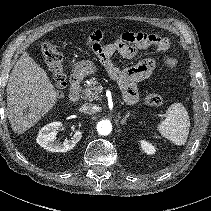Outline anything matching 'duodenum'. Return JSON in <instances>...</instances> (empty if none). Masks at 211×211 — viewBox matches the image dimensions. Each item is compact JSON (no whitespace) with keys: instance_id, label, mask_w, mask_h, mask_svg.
<instances>
[{"instance_id":"duodenum-1","label":"duodenum","mask_w":211,"mask_h":211,"mask_svg":"<svg viewBox=\"0 0 211 211\" xmlns=\"http://www.w3.org/2000/svg\"><path fill=\"white\" fill-rule=\"evenodd\" d=\"M82 88V78L73 73L70 76L69 99L71 102H77L80 99Z\"/></svg>"}]
</instances>
